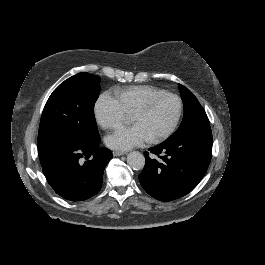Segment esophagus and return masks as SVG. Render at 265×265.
<instances>
[{
  "label": "esophagus",
  "mask_w": 265,
  "mask_h": 265,
  "mask_svg": "<svg viewBox=\"0 0 265 265\" xmlns=\"http://www.w3.org/2000/svg\"><path fill=\"white\" fill-rule=\"evenodd\" d=\"M124 154H126V152L121 151V150H115V151H113V155L114 156H121V155H124Z\"/></svg>",
  "instance_id": "34e87169"
}]
</instances>
